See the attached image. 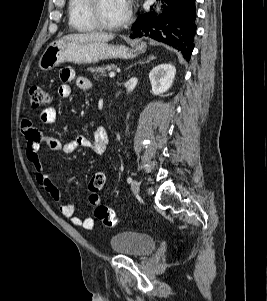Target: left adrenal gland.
I'll return each mask as SVG.
<instances>
[{"mask_svg":"<svg viewBox=\"0 0 267 301\" xmlns=\"http://www.w3.org/2000/svg\"><path fill=\"white\" fill-rule=\"evenodd\" d=\"M154 59H156V57L153 56V55H150L146 61H144V62H139V63H140V64L149 63L150 61H152V60H154ZM130 67H132V65H131Z\"/></svg>","mask_w":267,"mask_h":301,"instance_id":"a2214340","label":"left adrenal gland"}]
</instances>
